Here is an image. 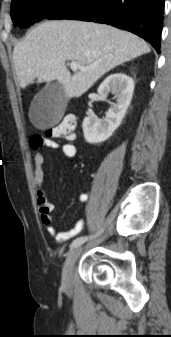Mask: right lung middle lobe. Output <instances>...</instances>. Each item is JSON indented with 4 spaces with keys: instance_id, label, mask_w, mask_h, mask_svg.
<instances>
[{
    "instance_id": "1",
    "label": "right lung middle lobe",
    "mask_w": 171,
    "mask_h": 337,
    "mask_svg": "<svg viewBox=\"0 0 171 337\" xmlns=\"http://www.w3.org/2000/svg\"><path fill=\"white\" fill-rule=\"evenodd\" d=\"M70 0H12L10 14L14 26L28 27L39 22Z\"/></svg>"
}]
</instances>
